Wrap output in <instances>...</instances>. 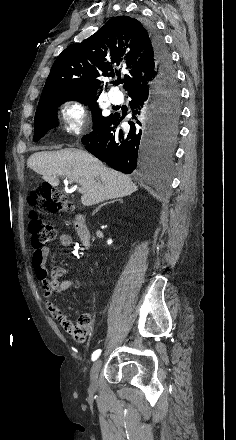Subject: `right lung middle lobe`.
<instances>
[{
  "instance_id": "dd1d6c3e",
  "label": "right lung middle lobe",
  "mask_w": 236,
  "mask_h": 440,
  "mask_svg": "<svg viewBox=\"0 0 236 440\" xmlns=\"http://www.w3.org/2000/svg\"><path fill=\"white\" fill-rule=\"evenodd\" d=\"M156 96L164 103L161 129L158 133V141L163 146V152L159 162H163L172 153L173 141L177 134V120L180 113V92L174 82L155 87ZM68 100H77L89 105L93 112V128L100 125L108 116H103L96 103L94 93H69L54 95L39 101L34 119V141L40 140L48 130L58 126L57 107Z\"/></svg>"
}]
</instances>
